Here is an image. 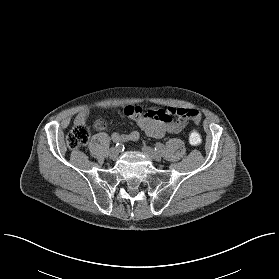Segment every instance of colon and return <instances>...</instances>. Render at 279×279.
<instances>
[{
  "label": "colon",
  "mask_w": 279,
  "mask_h": 279,
  "mask_svg": "<svg viewBox=\"0 0 279 279\" xmlns=\"http://www.w3.org/2000/svg\"><path fill=\"white\" fill-rule=\"evenodd\" d=\"M90 138V131L86 125H74L67 136V144L71 149H79L87 144ZM201 133L194 129L189 133V142L192 145H199L201 143Z\"/></svg>",
  "instance_id": "colon-1"
}]
</instances>
